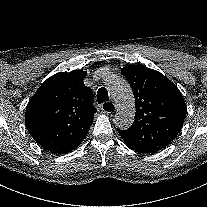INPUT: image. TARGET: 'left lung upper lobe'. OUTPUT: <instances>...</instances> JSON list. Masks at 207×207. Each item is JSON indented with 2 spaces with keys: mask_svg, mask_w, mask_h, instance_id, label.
I'll return each mask as SVG.
<instances>
[{
  "mask_svg": "<svg viewBox=\"0 0 207 207\" xmlns=\"http://www.w3.org/2000/svg\"><path fill=\"white\" fill-rule=\"evenodd\" d=\"M122 73L135 97V119L118 130L126 145L139 153H155L180 132L187 107L180 90L162 73L143 65L125 66Z\"/></svg>",
  "mask_w": 207,
  "mask_h": 207,
  "instance_id": "left-lung-upper-lobe-1",
  "label": "left lung upper lobe"
}]
</instances>
